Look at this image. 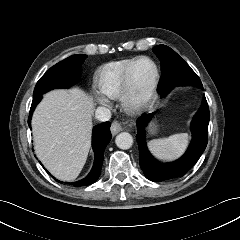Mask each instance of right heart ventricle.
<instances>
[{
  "instance_id": "obj_1",
  "label": "right heart ventricle",
  "mask_w": 240,
  "mask_h": 240,
  "mask_svg": "<svg viewBox=\"0 0 240 240\" xmlns=\"http://www.w3.org/2000/svg\"><path fill=\"white\" fill-rule=\"evenodd\" d=\"M135 59L125 58L111 61L99 69L97 84L107 97L112 99L120 97L125 72Z\"/></svg>"
}]
</instances>
